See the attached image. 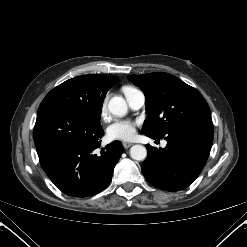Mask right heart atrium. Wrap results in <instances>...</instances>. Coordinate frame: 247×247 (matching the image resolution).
<instances>
[{
	"label": "right heart atrium",
	"mask_w": 247,
	"mask_h": 247,
	"mask_svg": "<svg viewBox=\"0 0 247 247\" xmlns=\"http://www.w3.org/2000/svg\"><path fill=\"white\" fill-rule=\"evenodd\" d=\"M106 102L103 103L102 105V110H101V114H102V117H105L106 116Z\"/></svg>",
	"instance_id": "d8ad5b80"
}]
</instances>
